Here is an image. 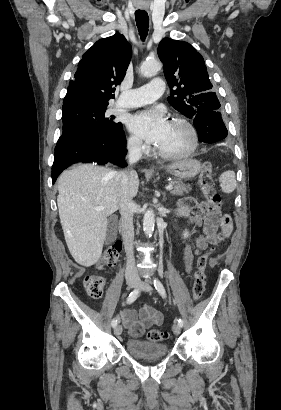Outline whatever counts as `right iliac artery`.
Returning a JSON list of instances; mask_svg holds the SVG:
<instances>
[{
	"label": "right iliac artery",
	"mask_w": 281,
	"mask_h": 410,
	"mask_svg": "<svg viewBox=\"0 0 281 410\" xmlns=\"http://www.w3.org/2000/svg\"><path fill=\"white\" fill-rule=\"evenodd\" d=\"M139 295V289H134L128 296L126 303L131 304L133 303ZM118 323V319L114 318L111 322L112 327H115Z\"/></svg>",
	"instance_id": "1"
}]
</instances>
